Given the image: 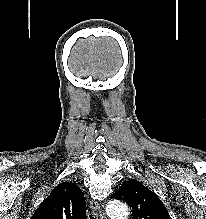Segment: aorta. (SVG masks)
Returning <instances> with one entry per match:
<instances>
[{
    "label": "aorta",
    "mask_w": 206,
    "mask_h": 219,
    "mask_svg": "<svg viewBox=\"0 0 206 219\" xmlns=\"http://www.w3.org/2000/svg\"><path fill=\"white\" fill-rule=\"evenodd\" d=\"M107 214L111 219H127L129 215L128 206L121 201H111L107 205Z\"/></svg>",
    "instance_id": "1"
}]
</instances>
